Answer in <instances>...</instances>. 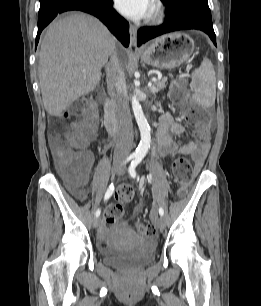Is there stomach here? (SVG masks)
Returning a JSON list of instances; mask_svg holds the SVG:
<instances>
[{
  "label": "stomach",
  "instance_id": "0dacf381",
  "mask_svg": "<svg viewBox=\"0 0 261 306\" xmlns=\"http://www.w3.org/2000/svg\"><path fill=\"white\" fill-rule=\"evenodd\" d=\"M193 40L185 33L174 32L157 37L140 53L141 60L158 69H173L189 59Z\"/></svg>",
  "mask_w": 261,
  "mask_h": 306
}]
</instances>
